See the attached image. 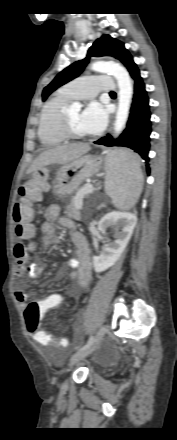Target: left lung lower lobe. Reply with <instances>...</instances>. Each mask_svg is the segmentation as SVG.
<instances>
[{"mask_svg": "<svg viewBox=\"0 0 177 440\" xmlns=\"http://www.w3.org/2000/svg\"><path fill=\"white\" fill-rule=\"evenodd\" d=\"M134 85L133 102L129 120L123 133L114 140L107 134L95 141L96 144L105 146H121L133 149L144 160L147 173L150 172L148 152L150 150V107L145 84L140 76L137 66L130 72Z\"/></svg>", "mask_w": 177, "mask_h": 440, "instance_id": "1", "label": "left lung lower lobe"}]
</instances>
